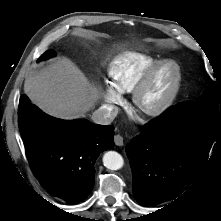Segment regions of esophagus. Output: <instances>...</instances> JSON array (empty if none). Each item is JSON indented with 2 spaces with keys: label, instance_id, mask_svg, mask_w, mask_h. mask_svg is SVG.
Listing matches in <instances>:
<instances>
[{
  "label": "esophagus",
  "instance_id": "esophagus-1",
  "mask_svg": "<svg viewBox=\"0 0 221 221\" xmlns=\"http://www.w3.org/2000/svg\"><path fill=\"white\" fill-rule=\"evenodd\" d=\"M114 142L117 146H122L124 144L123 137L119 134L115 135Z\"/></svg>",
  "mask_w": 221,
  "mask_h": 221
}]
</instances>
